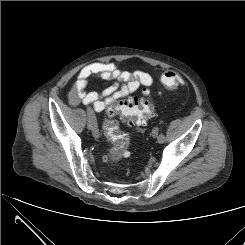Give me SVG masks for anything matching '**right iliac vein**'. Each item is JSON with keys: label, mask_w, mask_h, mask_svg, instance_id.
Returning a JSON list of instances; mask_svg holds the SVG:
<instances>
[{"label": "right iliac vein", "mask_w": 245, "mask_h": 245, "mask_svg": "<svg viewBox=\"0 0 245 245\" xmlns=\"http://www.w3.org/2000/svg\"><path fill=\"white\" fill-rule=\"evenodd\" d=\"M87 128L89 129V130H92L93 128H92V122H91V120L88 118V120H87ZM92 132H93V130H92ZM93 136L95 137V138H98L99 136L97 135V134H95V133H93Z\"/></svg>", "instance_id": "63e3f726"}]
</instances>
